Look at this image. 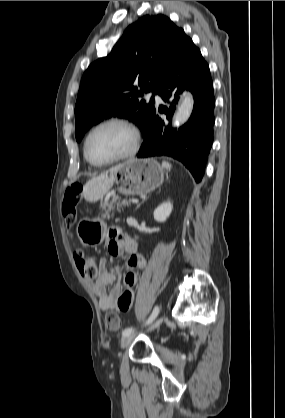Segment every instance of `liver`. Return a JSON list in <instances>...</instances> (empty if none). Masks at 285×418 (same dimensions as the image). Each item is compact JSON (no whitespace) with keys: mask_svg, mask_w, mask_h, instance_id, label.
Returning a JSON list of instances; mask_svg holds the SVG:
<instances>
[{"mask_svg":"<svg viewBox=\"0 0 285 418\" xmlns=\"http://www.w3.org/2000/svg\"><path fill=\"white\" fill-rule=\"evenodd\" d=\"M118 167L119 165L110 169V175H108L109 172H105L88 180L82 191L84 198L90 202H95L101 199L113 186V172H115Z\"/></svg>","mask_w":285,"mask_h":418,"instance_id":"liver-1","label":"liver"}]
</instances>
